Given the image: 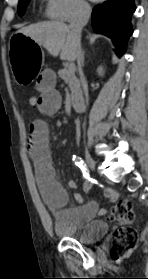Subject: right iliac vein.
Here are the masks:
<instances>
[{
    "mask_svg": "<svg viewBox=\"0 0 148 279\" xmlns=\"http://www.w3.org/2000/svg\"><path fill=\"white\" fill-rule=\"evenodd\" d=\"M85 159L91 170L95 169V162L88 151L85 152Z\"/></svg>",
    "mask_w": 148,
    "mask_h": 279,
    "instance_id": "right-iliac-vein-1",
    "label": "right iliac vein"
}]
</instances>
